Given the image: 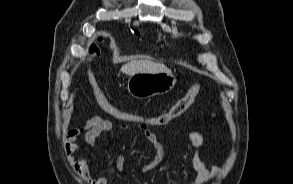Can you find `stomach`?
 <instances>
[{"label":"stomach","instance_id":"obj_1","mask_svg":"<svg viewBox=\"0 0 293 184\" xmlns=\"http://www.w3.org/2000/svg\"><path fill=\"white\" fill-rule=\"evenodd\" d=\"M176 81L171 72H139L129 77L127 90L131 96L137 99L149 98L168 93L173 89Z\"/></svg>","mask_w":293,"mask_h":184}]
</instances>
